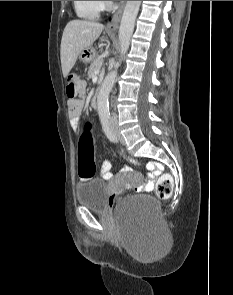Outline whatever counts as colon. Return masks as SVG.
Listing matches in <instances>:
<instances>
[{
  "mask_svg": "<svg viewBox=\"0 0 233 295\" xmlns=\"http://www.w3.org/2000/svg\"><path fill=\"white\" fill-rule=\"evenodd\" d=\"M85 94V82L77 74H69L66 78V95L69 99H80ZM89 128V124L87 126ZM96 164L94 160V146L89 133H86L79 144L78 174L83 179L94 176ZM173 191V179L170 175H162L156 184V194L160 199L170 198Z\"/></svg>",
  "mask_w": 233,
  "mask_h": 295,
  "instance_id": "1",
  "label": "colon"
}]
</instances>
